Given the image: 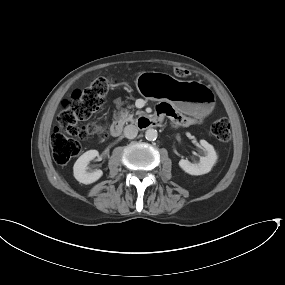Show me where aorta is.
<instances>
[{
  "mask_svg": "<svg viewBox=\"0 0 285 285\" xmlns=\"http://www.w3.org/2000/svg\"><path fill=\"white\" fill-rule=\"evenodd\" d=\"M158 137V132L157 130L153 129V128H150V129H147L146 132H145V138L148 140V141H154L156 140Z\"/></svg>",
  "mask_w": 285,
  "mask_h": 285,
  "instance_id": "762f6f07",
  "label": "aorta"
}]
</instances>
